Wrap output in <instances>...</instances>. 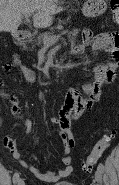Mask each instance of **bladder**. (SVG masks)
Returning <instances> with one entry per match:
<instances>
[{
	"label": "bladder",
	"mask_w": 119,
	"mask_h": 185,
	"mask_svg": "<svg viewBox=\"0 0 119 185\" xmlns=\"http://www.w3.org/2000/svg\"><path fill=\"white\" fill-rule=\"evenodd\" d=\"M54 185H75V184L70 181H60L55 183Z\"/></svg>",
	"instance_id": "1"
}]
</instances>
